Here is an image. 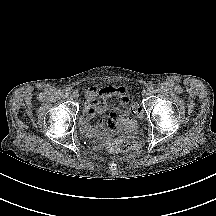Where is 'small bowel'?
Wrapping results in <instances>:
<instances>
[{
	"label": "small bowel",
	"instance_id": "obj_1",
	"mask_svg": "<svg viewBox=\"0 0 216 216\" xmlns=\"http://www.w3.org/2000/svg\"><path fill=\"white\" fill-rule=\"evenodd\" d=\"M108 100H117L118 105L107 103ZM129 97L127 90L122 86H94L90 87L85 94L84 112L81 118L83 132L91 137L103 139L111 130L117 127V120L127 111ZM111 110L108 115V129L101 122L93 123V119Z\"/></svg>",
	"mask_w": 216,
	"mask_h": 216
}]
</instances>
